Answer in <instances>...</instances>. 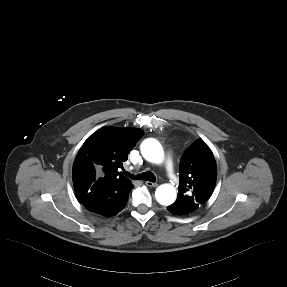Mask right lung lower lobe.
Listing matches in <instances>:
<instances>
[{"label": "right lung lower lobe", "mask_w": 287, "mask_h": 287, "mask_svg": "<svg viewBox=\"0 0 287 287\" xmlns=\"http://www.w3.org/2000/svg\"><path fill=\"white\" fill-rule=\"evenodd\" d=\"M133 187V184L126 185L121 182L93 185L82 204L90 212L103 216H113L125 207L129 192Z\"/></svg>", "instance_id": "98d812e1"}]
</instances>
